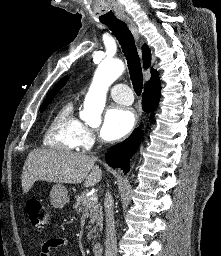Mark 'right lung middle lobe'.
Masks as SVG:
<instances>
[{
    "instance_id": "right-lung-middle-lobe-1",
    "label": "right lung middle lobe",
    "mask_w": 221,
    "mask_h": 256,
    "mask_svg": "<svg viewBox=\"0 0 221 256\" xmlns=\"http://www.w3.org/2000/svg\"><path fill=\"white\" fill-rule=\"evenodd\" d=\"M55 95H52L50 97H48L47 99L44 100L43 104L40 107V111H44L47 107V105L52 101V99L54 98Z\"/></svg>"
}]
</instances>
